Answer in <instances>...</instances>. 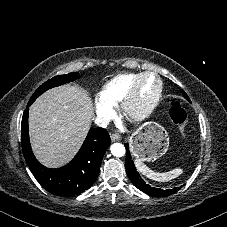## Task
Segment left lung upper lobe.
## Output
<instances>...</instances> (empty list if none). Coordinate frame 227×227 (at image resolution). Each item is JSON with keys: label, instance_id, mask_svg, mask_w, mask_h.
<instances>
[{"label": "left lung upper lobe", "instance_id": "1", "mask_svg": "<svg viewBox=\"0 0 227 227\" xmlns=\"http://www.w3.org/2000/svg\"><path fill=\"white\" fill-rule=\"evenodd\" d=\"M183 96L187 99V100H189V97L187 96V94L183 91Z\"/></svg>", "mask_w": 227, "mask_h": 227}]
</instances>
